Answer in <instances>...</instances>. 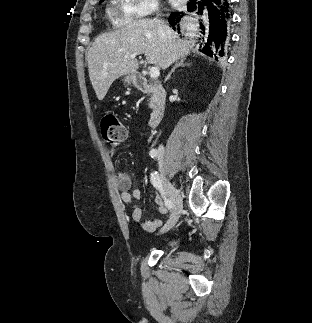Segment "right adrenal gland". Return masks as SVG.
I'll return each mask as SVG.
<instances>
[{
    "mask_svg": "<svg viewBox=\"0 0 312 323\" xmlns=\"http://www.w3.org/2000/svg\"><path fill=\"white\" fill-rule=\"evenodd\" d=\"M185 60H187V58H181L180 62H177V64H175L174 68H172L170 74H168L167 78H165V82H167V80H170L173 72H175L176 68H179V66H182V68H185V66H189V64H185Z\"/></svg>",
    "mask_w": 312,
    "mask_h": 323,
    "instance_id": "1",
    "label": "right adrenal gland"
}]
</instances>
